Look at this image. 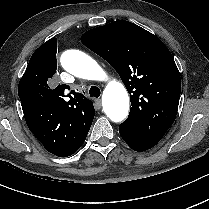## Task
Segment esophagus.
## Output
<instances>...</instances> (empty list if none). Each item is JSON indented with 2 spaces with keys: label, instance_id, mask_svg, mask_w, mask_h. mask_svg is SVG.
Here are the masks:
<instances>
[{
  "label": "esophagus",
  "instance_id": "obj_1",
  "mask_svg": "<svg viewBox=\"0 0 209 209\" xmlns=\"http://www.w3.org/2000/svg\"><path fill=\"white\" fill-rule=\"evenodd\" d=\"M95 104L97 108H101V99H96Z\"/></svg>",
  "mask_w": 209,
  "mask_h": 209
}]
</instances>
